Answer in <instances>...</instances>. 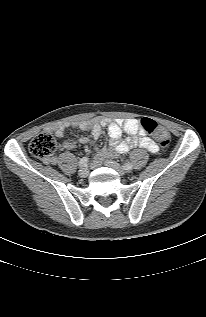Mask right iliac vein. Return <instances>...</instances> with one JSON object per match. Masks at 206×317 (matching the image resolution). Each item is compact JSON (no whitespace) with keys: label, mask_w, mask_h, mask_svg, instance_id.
I'll return each mask as SVG.
<instances>
[{"label":"right iliac vein","mask_w":206,"mask_h":317,"mask_svg":"<svg viewBox=\"0 0 206 317\" xmlns=\"http://www.w3.org/2000/svg\"><path fill=\"white\" fill-rule=\"evenodd\" d=\"M79 176L82 177V178H85L88 176L89 174V170L88 168L84 167V168H81L78 172Z\"/></svg>","instance_id":"1"}]
</instances>
